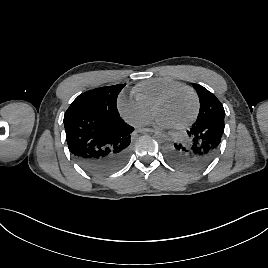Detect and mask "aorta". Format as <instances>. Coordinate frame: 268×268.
<instances>
[{"mask_svg": "<svg viewBox=\"0 0 268 268\" xmlns=\"http://www.w3.org/2000/svg\"><path fill=\"white\" fill-rule=\"evenodd\" d=\"M154 138L157 142L162 143L166 140L167 135L163 130H158L155 135Z\"/></svg>", "mask_w": 268, "mask_h": 268, "instance_id": "762f6f07", "label": "aorta"}]
</instances>
